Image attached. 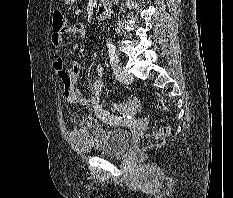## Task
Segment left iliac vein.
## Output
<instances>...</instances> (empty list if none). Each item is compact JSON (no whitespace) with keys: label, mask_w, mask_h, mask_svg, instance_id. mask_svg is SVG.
Returning a JSON list of instances; mask_svg holds the SVG:
<instances>
[{"label":"left iliac vein","mask_w":233,"mask_h":198,"mask_svg":"<svg viewBox=\"0 0 233 198\" xmlns=\"http://www.w3.org/2000/svg\"><path fill=\"white\" fill-rule=\"evenodd\" d=\"M114 75L119 81L124 83H129L133 79L132 75L128 73V71L123 66L120 65L114 69Z\"/></svg>","instance_id":"1"}]
</instances>
